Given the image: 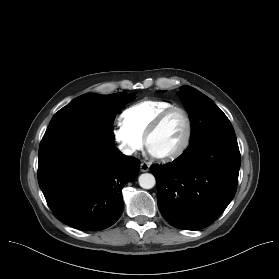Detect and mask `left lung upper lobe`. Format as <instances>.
Wrapping results in <instances>:
<instances>
[{
	"instance_id": "obj_1",
	"label": "left lung upper lobe",
	"mask_w": 279,
	"mask_h": 279,
	"mask_svg": "<svg viewBox=\"0 0 279 279\" xmlns=\"http://www.w3.org/2000/svg\"><path fill=\"white\" fill-rule=\"evenodd\" d=\"M178 95L190 117V143L213 134L235 133L227 116L206 95L186 85Z\"/></svg>"
}]
</instances>
